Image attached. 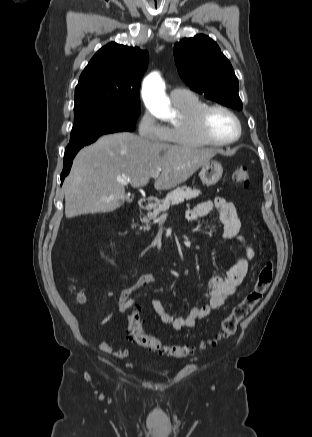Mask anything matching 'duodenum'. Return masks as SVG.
Returning a JSON list of instances; mask_svg holds the SVG:
<instances>
[{"mask_svg":"<svg viewBox=\"0 0 312 437\" xmlns=\"http://www.w3.org/2000/svg\"><path fill=\"white\" fill-rule=\"evenodd\" d=\"M155 204V199L153 197H144L139 200V207L141 209L152 208Z\"/></svg>","mask_w":312,"mask_h":437,"instance_id":"duodenum-1","label":"duodenum"}]
</instances>
